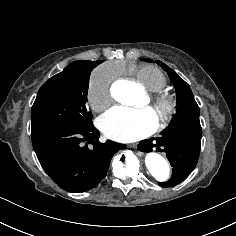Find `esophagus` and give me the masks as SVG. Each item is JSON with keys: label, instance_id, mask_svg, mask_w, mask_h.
Segmentation results:
<instances>
[{"label": "esophagus", "instance_id": "1", "mask_svg": "<svg viewBox=\"0 0 236 236\" xmlns=\"http://www.w3.org/2000/svg\"><path fill=\"white\" fill-rule=\"evenodd\" d=\"M135 146H136L135 144L129 145V147H131V148H132V147H135Z\"/></svg>", "mask_w": 236, "mask_h": 236}]
</instances>
